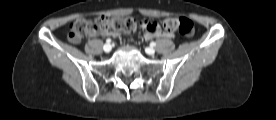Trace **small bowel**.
<instances>
[{"mask_svg":"<svg viewBox=\"0 0 276 120\" xmlns=\"http://www.w3.org/2000/svg\"><path fill=\"white\" fill-rule=\"evenodd\" d=\"M145 23L146 22H144L142 24V27H143V29H145L144 38L146 40H150V39H153V38H159V37H164V38H173L174 37V35L172 33H166L164 31H162L159 26H157L155 31H148L146 29ZM101 34L105 35V36H114V35H116V34L111 35V34H108V33H101Z\"/></svg>","mask_w":276,"mask_h":120,"instance_id":"obj_1","label":"small bowel"}]
</instances>
